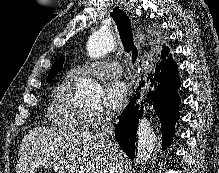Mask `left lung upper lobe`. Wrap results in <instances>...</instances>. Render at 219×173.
<instances>
[{
	"label": "left lung upper lobe",
	"instance_id": "left-lung-upper-lobe-1",
	"mask_svg": "<svg viewBox=\"0 0 219 173\" xmlns=\"http://www.w3.org/2000/svg\"><path fill=\"white\" fill-rule=\"evenodd\" d=\"M63 60H64V57L61 56L52 66L50 72H49V75L47 77V82H50L56 75L57 73L60 71V69L62 68L63 66Z\"/></svg>",
	"mask_w": 219,
	"mask_h": 173
}]
</instances>
